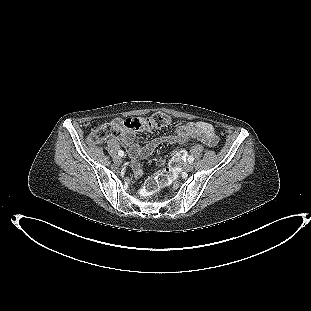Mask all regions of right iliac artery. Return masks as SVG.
<instances>
[{"label": "right iliac artery", "instance_id": "right-iliac-artery-1", "mask_svg": "<svg viewBox=\"0 0 311 311\" xmlns=\"http://www.w3.org/2000/svg\"><path fill=\"white\" fill-rule=\"evenodd\" d=\"M118 154H119V156H123V155H124V152H123L122 150H119V151H118Z\"/></svg>", "mask_w": 311, "mask_h": 311}]
</instances>
